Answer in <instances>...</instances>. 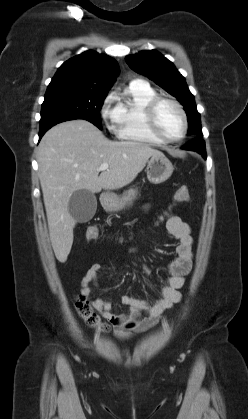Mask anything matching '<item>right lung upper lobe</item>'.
<instances>
[{"label": "right lung upper lobe", "mask_w": 248, "mask_h": 419, "mask_svg": "<svg viewBox=\"0 0 248 419\" xmlns=\"http://www.w3.org/2000/svg\"><path fill=\"white\" fill-rule=\"evenodd\" d=\"M119 72L118 63L105 54L89 50L64 62L48 85L107 93Z\"/></svg>", "instance_id": "cb5924a9"}]
</instances>
